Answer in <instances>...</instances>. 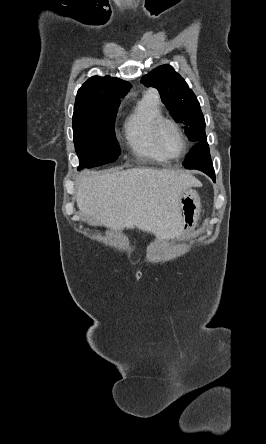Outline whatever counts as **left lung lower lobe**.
Instances as JSON below:
<instances>
[{
  "label": "left lung lower lobe",
  "mask_w": 266,
  "mask_h": 444,
  "mask_svg": "<svg viewBox=\"0 0 266 444\" xmlns=\"http://www.w3.org/2000/svg\"><path fill=\"white\" fill-rule=\"evenodd\" d=\"M206 140L199 143L194 150L187 155L183 165L186 169L201 170L215 181V173Z\"/></svg>",
  "instance_id": "obj_1"
}]
</instances>
